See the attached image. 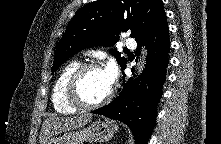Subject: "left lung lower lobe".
I'll use <instances>...</instances> for the list:
<instances>
[{"label":"left lung lower lobe","mask_w":221,"mask_h":144,"mask_svg":"<svg viewBox=\"0 0 221 144\" xmlns=\"http://www.w3.org/2000/svg\"><path fill=\"white\" fill-rule=\"evenodd\" d=\"M168 31L164 14L151 33L145 37L148 56L143 73L135 81L129 80L119 96L110 104L92 111L94 114L104 115L128 125L137 144H146L154 128L157 105L166 80L170 47ZM143 40L144 38L137 41L139 47ZM125 68L126 64L122 70Z\"/></svg>","instance_id":"left-lung-lower-lobe-1"}]
</instances>
